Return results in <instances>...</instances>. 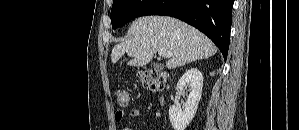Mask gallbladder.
<instances>
[{
    "instance_id": "bac80fb5",
    "label": "gallbladder",
    "mask_w": 299,
    "mask_h": 130,
    "mask_svg": "<svg viewBox=\"0 0 299 130\" xmlns=\"http://www.w3.org/2000/svg\"><path fill=\"white\" fill-rule=\"evenodd\" d=\"M153 67H154V69H160L162 67V65L161 64H154Z\"/></svg>"
}]
</instances>
